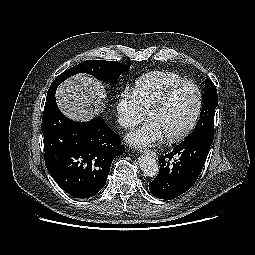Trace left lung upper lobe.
<instances>
[{"label": "left lung upper lobe", "mask_w": 255, "mask_h": 255, "mask_svg": "<svg viewBox=\"0 0 255 255\" xmlns=\"http://www.w3.org/2000/svg\"><path fill=\"white\" fill-rule=\"evenodd\" d=\"M217 103L216 87L209 78H206L200 119L196 124L194 131L186 139L203 132L214 133V116Z\"/></svg>", "instance_id": "obj_1"}]
</instances>
